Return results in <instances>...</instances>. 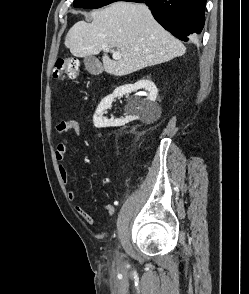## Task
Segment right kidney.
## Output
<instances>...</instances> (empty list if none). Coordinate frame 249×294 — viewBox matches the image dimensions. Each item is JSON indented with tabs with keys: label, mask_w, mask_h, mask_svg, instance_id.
<instances>
[{
	"label": "right kidney",
	"mask_w": 249,
	"mask_h": 294,
	"mask_svg": "<svg viewBox=\"0 0 249 294\" xmlns=\"http://www.w3.org/2000/svg\"><path fill=\"white\" fill-rule=\"evenodd\" d=\"M139 89H145L148 91L146 99H140L135 97L129 101L130 109L127 111L125 118L113 117L107 119L103 116L104 112L111 107L113 100L116 97L122 96L126 93L135 92ZM158 89L156 85L149 79H141L134 84H126L117 87L111 95L106 96L100 102L93 116V123L96 128H106V127H117L123 126L128 122L139 119L142 122H154L156 121L160 114L161 109L156 101Z\"/></svg>",
	"instance_id": "ca27d5eb"
}]
</instances>
